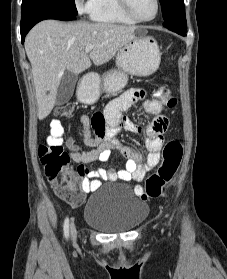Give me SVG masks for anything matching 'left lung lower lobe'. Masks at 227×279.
<instances>
[{
	"mask_svg": "<svg viewBox=\"0 0 227 279\" xmlns=\"http://www.w3.org/2000/svg\"><path fill=\"white\" fill-rule=\"evenodd\" d=\"M164 27L167 29L181 35V36H186L187 33V24L185 22H164L163 23Z\"/></svg>",
	"mask_w": 227,
	"mask_h": 279,
	"instance_id": "0a47b994",
	"label": "left lung lower lobe"
}]
</instances>
